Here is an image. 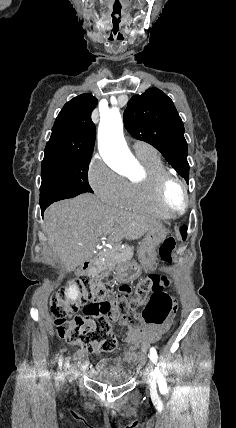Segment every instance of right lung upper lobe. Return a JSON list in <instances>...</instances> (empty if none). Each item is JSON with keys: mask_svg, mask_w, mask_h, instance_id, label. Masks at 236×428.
<instances>
[{"mask_svg": "<svg viewBox=\"0 0 236 428\" xmlns=\"http://www.w3.org/2000/svg\"><path fill=\"white\" fill-rule=\"evenodd\" d=\"M97 102L96 97L86 93L64 105L52 128L44 157L92 156L96 129L91 112Z\"/></svg>", "mask_w": 236, "mask_h": 428, "instance_id": "obj_1", "label": "right lung upper lobe"}]
</instances>
